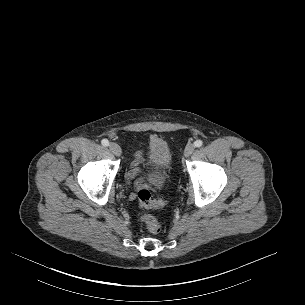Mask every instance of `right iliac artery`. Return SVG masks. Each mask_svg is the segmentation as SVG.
Segmentation results:
<instances>
[{"label": "right iliac artery", "instance_id": "obj_1", "mask_svg": "<svg viewBox=\"0 0 305 305\" xmlns=\"http://www.w3.org/2000/svg\"><path fill=\"white\" fill-rule=\"evenodd\" d=\"M101 143H102V145L105 146V147L109 146V141H108L107 139H103V140L101 141Z\"/></svg>", "mask_w": 305, "mask_h": 305}]
</instances>
